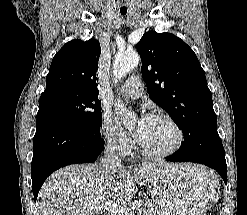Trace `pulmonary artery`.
<instances>
[{
  "label": "pulmonary artery",
  "mask_w": 247,
  "mask_h": 215,
  "mask_svg": "<svg viewBox=\"0 0 247 215\" xmlns=\"http://www.w3.org/2000/svg\"><path fill=\"white\" fill-rule=\"evenodd\" d=\"M120 93L124 97L139 98L143 94V83L140 77H129L120 88Z\"/></svg>",
  "instance_id": "e3ab8cb5"
}]
</instances>
